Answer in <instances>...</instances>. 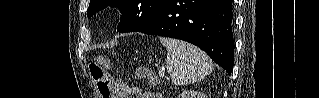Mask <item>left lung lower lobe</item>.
Returning a JSON list of instances; mask_svg holds the SVG:
<instances>
[{"mask_svg":"<svg viewBox=\"0 0 319 98\" xmlns=\"http://www.w3.org/2000/svg\"><path fill=\"white\" fill-rule=\"evenodd\" d=\"M232 0H163L136 31L195 44L229 74L233 68Z\"/></svg>","mask_w":319,"mask_h":98,"instance_id":"left-lung-lower-lobe-1","label":"left lung lower lobe"}]
</instances>
